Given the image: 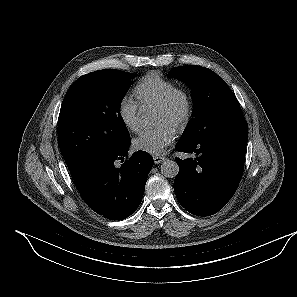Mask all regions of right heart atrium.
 Returning <instances> with one entry per match:
<instances>
[{"instance_id":"1","label":"right heart atrium","mask_w":297,"mask_h":297,"mask_svg":"<svg viewBox=\"0 0 297 297\" xmlns=\"http://www.w3.org/2000/svg\"><path fill=\"white\" fill-rule=\"evenodd\" d=\"M117 114L122 124L130 131L140 126V107L131 97L123 96L117 105Z\"/></svg>"}]
</instances>
